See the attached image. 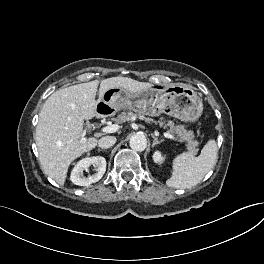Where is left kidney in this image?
Wrapping results in <instances>:
<instances>
[{
	"label": "left kidney",
	"mask_w": 264,
	"mask_h": 264,
	"mask_svg": "<svg viewBox=\"0 0 264 264\" xmlns=\"http://www.w3.org/2000/svg\"><path fill=\"white\" fill-rule=\"evenodd\" d=\"M153 160L157 164H162L165 160V156L160 151H155L153 154Z\"/></svg>",
	"instance_id": "5707ae66"
}]
</instances>
